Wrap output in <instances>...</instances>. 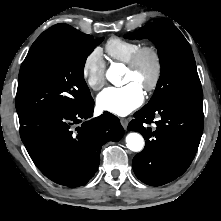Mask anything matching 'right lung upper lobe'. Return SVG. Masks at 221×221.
<instances>
[{"label": "right lung upper lobe", "instance_id": "obj_1", "mask_svg": "<svg viewBox=\"0 0 221 221\" xmlns=\"http://www.w3.org/2000/svg\"><path fill=\"white\" fill-rule=\"evenodd\" d=\"M83 35L84 33L74 29L73 27L67 24H56L48 30H46L45 32H43L36 39V41L31 46L28 55L32 54L34 51L46 44L57 41L74 40L80 38Z\"/></svg>", "mask_w": 221, "mask_h": 221}]
</instances>
